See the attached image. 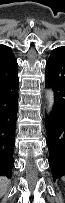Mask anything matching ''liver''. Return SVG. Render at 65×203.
Here are the masks:
<instances>
[{"label":"liver","mask_w":65,"mask_h":203,"mask_svg":"<svg viewBox=\"0 0 65 203\" xmlns=\"http://www.w3.org/2000/svg\"><path fill=\"white\" fill-rule=\"evenodd\" d=\"M8 184H9V180L6 179L5 177H1L0 178V193H1V196L5 193L7 187H8Z\"/></svg>","instance_id":"6515ba94"}]
</instances>
